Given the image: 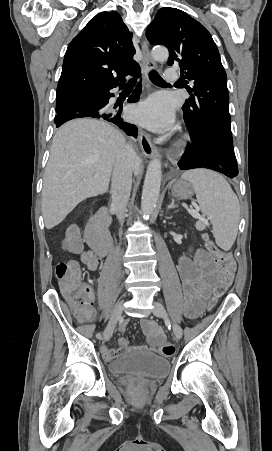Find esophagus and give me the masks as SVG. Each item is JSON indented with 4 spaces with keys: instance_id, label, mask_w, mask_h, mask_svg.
<instances>
[{
    "instance_id": "34e87169",
    "label": "esophagus",
    "mask_w": 272,
    "mask_h": 451,
    "mask_svg": "<svg viewBox=\"0 0 272 451\" xmlns=\"http://www.w3.org/2000/svg\"><path fill=\"white\" fill-rule=\"evenodd\" d=\"M142 50L144 52L143 59L141 62V69L144 74V79L147 80L148 73L151 70H154L156 67V63L152 60L149 50H148V43L144 42L142 44ZM147 88H149V85H146ZM139 144L141 147L142 152L145 156L148 158L153 157L156 154V149L154 145L152 144L150 137L147 133H145L143 130H140L139 132Z\"/></svg>"
}]
</instances>
